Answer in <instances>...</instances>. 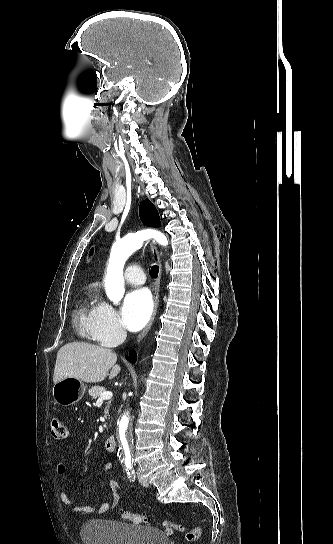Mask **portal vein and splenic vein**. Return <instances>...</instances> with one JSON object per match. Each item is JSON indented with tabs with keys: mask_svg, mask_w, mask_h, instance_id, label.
Instances as JSON below:
<instances>
[{
	"mask_svg": "<svg viewBox=\"0 0 333 544\" xmlns=\"http://www.w3.org/2000/svg\"><path fill=\"white\" fill-rule=\"evenodd\" d=\"M113 394L110 391L104 392L98 399V402H102L103 400H107L112 398Z\"/></svg>",
	"mask_w": 333,
	"mask_h": 544,
	"instance_id": "1",
	"label": "portal vein and splenic vein"
}]
</instances>
